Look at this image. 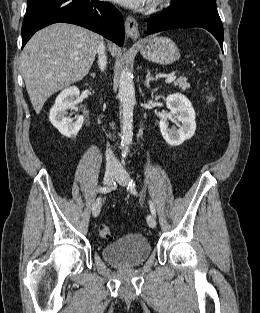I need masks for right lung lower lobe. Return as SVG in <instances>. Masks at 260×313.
Instances as JSON below:
<instances>
[{
  "instance_id": "98d812e1",
  "label": "right lung lower lobe",
  "mask_w": 260,
  "mask_h": 313,
  "mask_svg": "<svg viewBox=\"0 0 260 313\" xmlns=\"http://www.w3.org/2000/svg\"><path fill=\"white\" fill-rule=\"evenodd\" d=\"M56 22L88 28L119 46L124 42L122 15L111 3L98 0H27L22 47L36 31Z\"/></svg>"
}]
</instances>
